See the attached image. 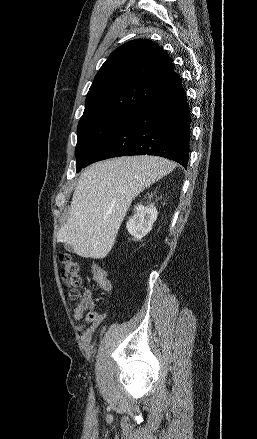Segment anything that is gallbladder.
<instances>
[{"label":"gallbladder","mask_w":257,"mask_h":439,"mask_svg":"<svg viewBox=\"0 0 257 439\" xmlns=\"http://www.w3.org/2000/svg\"><path fill=\"white\" fill-rule=\"evenodd\" d=\"M64 248L69 252L73 251L72 246L67 243L64 244Z\"/></svg>","instance_id":"gallbladder-1"}]
</instances>
